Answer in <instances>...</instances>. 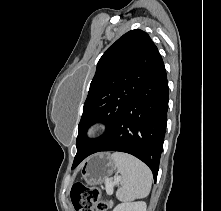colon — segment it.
I'll use <instances>...</instances> for the list:
<instances>
[{
  "mask_svg": "<svg viewBox=\"0 0 221 211\" xmlns=\"http://www.w3.org/2000/svg\"><path fill=\"white\" fill-rule=\"evenodd\" d=\"M70 199L76 211H107L108 209L100 189L88 188L80 182L71 187Z\"/></svg>",
  "mask_w": 221,
  "mask_h": 211,
  "instance_id": "5ec220e1",
  "label": "colon"
}]
</instances>
